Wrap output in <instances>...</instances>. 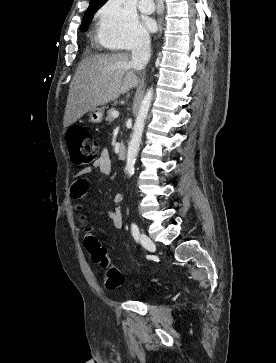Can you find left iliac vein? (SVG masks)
<instances>
[{"label":"left iliac vein","instance_id":"left-iliac-vein-1","mask_svg":"<svg viewBox=\"0 0 276 363\" xmlns=\"http://www.w3.org/2000/svg\"><path fill=\"white\" fill-rule=\"evenodd\" d=\"M140 243L142 244V246L144 248H146L149 251H154L155 250V244L153 243V241L146 236L145 234H141L140 235Z\"/></svg>","mask_w":276,"mask_h":363}]
</instances>
